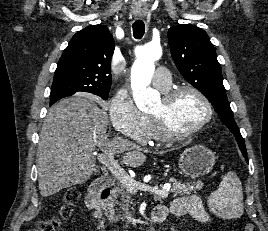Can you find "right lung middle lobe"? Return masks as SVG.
Wrapping results in <instances>:
<instances>
[{
    "label": "right lung middle lobe",
    "instance_id": "1",
    "mask_svg": "<svg viewBox=\"0 0 268 231\" xmlns=\"http://www.w3.org/2000/svg\"><path fill=\"white\" fill-rule=\"evenodd\" d=\"M66 94V90H64L63 88H51V94H50V99L51 98H55V97H58V96H62ZM98 96H100L102 99L104 100H107L108 99V96H109V93H103V94H96Z\"/></svg>",
    "mask_w": 268,
    "mask_h": 231
}]
</instances>
